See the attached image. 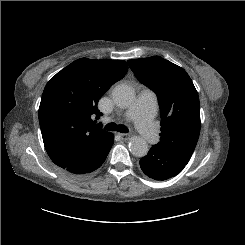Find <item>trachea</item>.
I'll list each match as a JSON object with an SVG mask.
<instances>
[{"label":"trachea","mask_w":245,"mask_h":245,"mask_svg":"<svg viewBox=\"0 0 245 245\" xmlns=\"http://www.w3.org/2000/svg\"><path fill=\"white\" fill-rule=\"evenodd\" d=\"M108 131H118L121 133H127L129 130L123 125H116L115 123H108L105 127Z\"/></svg>","instance_id":"obj_1"}]
</instances>
